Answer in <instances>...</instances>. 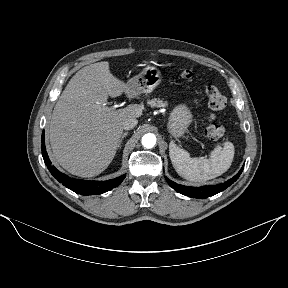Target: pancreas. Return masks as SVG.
<instances>
[{
  "instance_id": "1",
  "label": "pancreas",
  "mask_w": 288,
  "mask_h": 288,
  "mask_svg": "<svg viewBox=\"0 0 288 288\" xmlns=\"http://www.w3.org/2000/svg\"><path fill=\"white\" fill-rule=\"evenodd\" d=\"M148 104L151 106V107H165L168 105V103L166 101H163L161 99H152V100H148Z\"/></svg>"
}]
</instances>
